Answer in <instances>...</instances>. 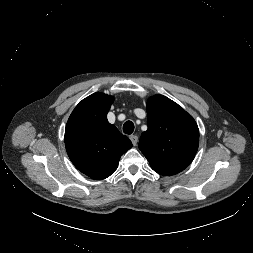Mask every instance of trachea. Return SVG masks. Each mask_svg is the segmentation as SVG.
Wrapping results in <instances>:
<instances>
[{
  "label": "trachea",
  "mask_w": 253,
  "mask_h": 253,
  "mask_svg": "<svg viewBox=\"0 0 253 253\" xmlns=\"http://www.w3.org/2000/svg\"><path fill=\"white\" fill-rule=\"evenodd\" d=\"M134 131V124L132 121H126L123 125V132L125 134H132Z\"/></svg>",
  "instance_id": "1"
}]
</instances>
